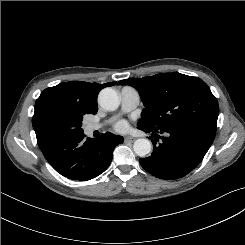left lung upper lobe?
Listing matches in <instances>:
<instances>
[{"instance_id": "1", "label": "left lung upper lobe", "mask_w": 245, "mask_h": 245, "mask_svg": "<svg viewBox=\"0 0 245 245\" xmlns=\"http://www.w3.org/2000/svg\"><path fill=\"white\" fill-rule=\"evenodd\" d=\"M117 84L130 85L140 94L145 108L137 123L138 129L160 130L182 123L217 128L218 102L200 78L164 73L129 78Z\"/></svg>"}]
</instances>
